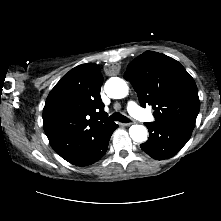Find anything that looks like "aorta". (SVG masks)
<instances>
[{
    "mask_svg": "<svg viewBox=\"0 0 221 221\" xmlns=\"http://www.w3.org/2000/svg\"><path fill=\"white\" fill-rule=\"evenodd\" d=\"M106 94L113 99H121L128 95L127 83L118 77H112L105 83ZM130 137L134 142L143 143L147 140L148 131L144 125H132L129 128Z\"/></svg>",
    "mask_w": 221,
    "mask_h": 221,
    "instance_id": "762f6f07",
    "label": "aorta"
}]
</instances>
